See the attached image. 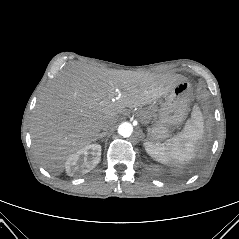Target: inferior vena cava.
<instances>
[{
  "instance_id": "inferior-vena-cava-1",
  "label": "inferior vena cava",
  "mask_w": 239,
  "mask_h": 239,
  "mask_svg": "<svg viewBox=\"0 0 239 239\" xmlns=\"http://www.w3.org/2000/svg\"><path fill=\"white\" fill-rule=\"evenodd\" d=\"M114 125L113 121H106L101 124V130L107 131Z\"/></svg>"
}]
</instances>
